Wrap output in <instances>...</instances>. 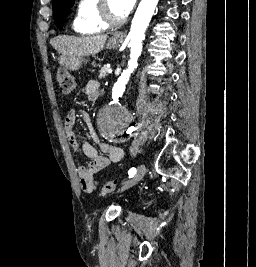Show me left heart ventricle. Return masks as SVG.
Segmentation results:
<instances>
[{
    "instance_id": "obj_1",
    "label": "left heart ventricle",
    "mask_w": 256,
    "mask_h": 267,
    "mask_svg": "<svg viewBox=\"0 0 256 267\" xmlns=\"http://www.w3.org/2000/svg\"><path fill=\"white\" fill-rule=\"evenodd\" d=\"M109 16H110V24L115 26L119 21V14L114 1H111L110 3Z\"/></svg>"
}]
</instances>
